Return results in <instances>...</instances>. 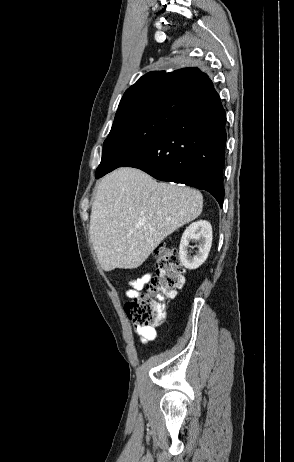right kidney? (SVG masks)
<instances>
[{
	"label": "right kidney",
	"instance_id": "obj_1",
	"mask_svg": "<svg viewBox=\"0 0 294 462\" xmlns=\"http://www.w3.org/2000/svg\"><path fill=\"white\" fill-rule=\"evenodd\" d=\"M198 242L199 251L194 257L188 255L189 242ZM212 244V226L206 220H199L190 224L184 231L180 247L179 257L185 268L195 270L207 259Z\"/></svg>",
	"mask_w": 294,
	"mask_h": 462
}]
</instances>
